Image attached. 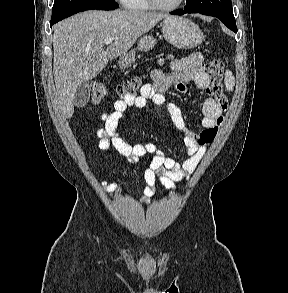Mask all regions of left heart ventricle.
Masks as SVG:
<instances>
[{"label": "left heart ventricle", "instance_id": "1", "mask_svg": "<svg viewBox=\"0 0 288 293\" xmlns=\"http://www.w3.org/2000/svg\"><path fill=\"white\" fill-rule=\"evenodd\" d=\"M156 1L163 5H171V4H174L177 0H156Z\"/></svg>", "mask_w": 288, "mask_h": 293}]
</instances>
